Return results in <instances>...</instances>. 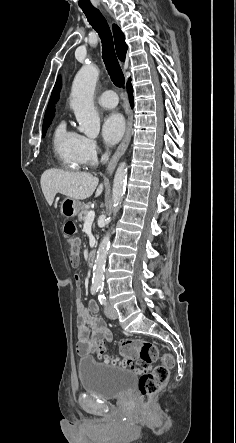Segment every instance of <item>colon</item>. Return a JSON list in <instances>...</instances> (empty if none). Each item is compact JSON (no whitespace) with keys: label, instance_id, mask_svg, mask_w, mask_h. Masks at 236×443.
<instances>
[{"label":"colon","instance_id":"1","mask_svg":"<svg viewBox=\"0 0 236 443\" xmlns=\"http://www.w3.org/2000/svg\"><path fill=\"white\" fill-rule=\"evenodd\" d=\"M64 233L70 246V264L76 267L79 263V240L76 236V224L72 221L66 222ZM92 352L96 359L105 363L116 364L118 362L116 358L107 353L106 347L102 344L93 347ZM119 352L124 358L122 361L124 367L139 371L146 370L159 357L156 345L146 339L123 340L119 345ZM161 362V365L144 373L139 380L138 390L144 403H147L153 395L158 393L169 379V368L173 366V358L170 354H164L161 357Z\"/></svg>","mask_w":236,"mask_h":443}]
</instances>
